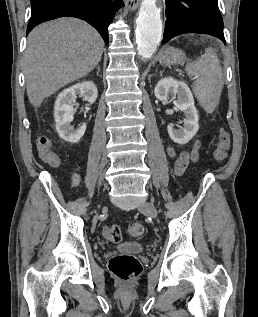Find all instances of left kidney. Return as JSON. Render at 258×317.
<instances>
[{
  "instance_id": "left-kidney-1",
  "label": "left kidney",
  "mask_w": 258,
  "mask_h": 317,
  "mask_svg": "<svg viewBox=\"0 0 258 317\" xmlns=\"http://www.w3.org/2000/svg\"><path fill=\"white\" fill-rule=\"evenodd\" d=\"M169 92L174 94L170 100H173L175 108H179V110L184 112L185 118L180 120V122H183V126L177 124L179 128L167 126L168 134L174 142L186 144V142L191 140L192 136H195L199 128V116L194 104L193 94L188 84L183 82V80H176L172 76H165V78L158 80L154 94L158 100H165V98H169ZM176 94L177 100H174Z\"/></svg>"
}]
</instances>
